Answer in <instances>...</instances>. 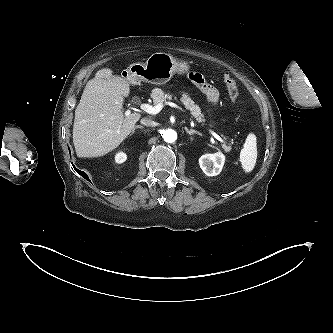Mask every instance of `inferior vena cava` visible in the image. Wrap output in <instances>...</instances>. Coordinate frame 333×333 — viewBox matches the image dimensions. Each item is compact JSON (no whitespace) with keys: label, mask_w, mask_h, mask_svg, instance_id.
<instances>
[{"label":"inferior vena cava","mask_w":333,"mask_h":333,"mask_svg":"<svg viewBox=\"0 0 333 333\" xmlns=\"http://www.w3.org/2000/svg\"><path fill=\"white\" fill-rule=\"evenodd\" d=\"M141 124L145 125V126H148V127H153L156 125V123L148 118H143L141 119Z\"/></svg>","instance_id":"602c4592"}]
</instances>
